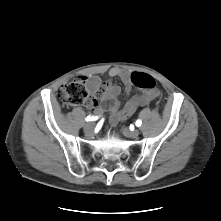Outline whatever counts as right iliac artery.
Returning a JSON list of instances; mask_svg holds the SVG:
<instances>
[{"label":"right iliac artery","mask_w":221,"mask_h":221,"mask_svg":"<svg viewBox=\"0 0 221 221\" xmlns=\"http://www.w3.org/2000/svg\"><path fill=\"white\" fill-rule=\"evenodd\" d=\"M97 119H98V117H96V116H90V115H89V116L86 117L85 120L88 122V121H95V120H97Z\"/></svg>","instance_id":"obj_1"}]
</instances>
